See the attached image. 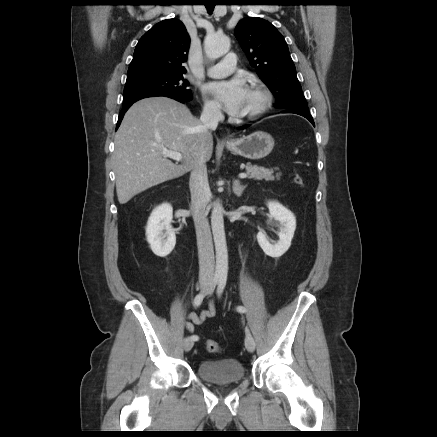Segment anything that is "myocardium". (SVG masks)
<instances>
[{"mask_svg":"<svg viewBox=\"0 0 437 437\" xmlns=\"http://www.w3.org/2000/svg\"><path fill=\"white\" fill-rule=\"evenodd\" d=\"M251 90L257 92L260 95V103L259 105L252 110L251 112H248L246 114H243L239 117V120H255L261 115H263L271 106L272 103V96L269 90L260 85V84H252L250 86Z\"/></svg>","mask_w":437,"mask_h":437,"instance_id":"f54148a6","label":"myocardium"}]
</instances>
